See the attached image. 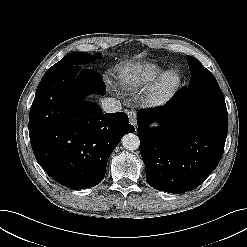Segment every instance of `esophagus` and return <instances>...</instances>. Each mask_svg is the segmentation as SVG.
<instances>
[{"mask_svg": "<svg viewBox=\"0 0 247 247\" xmlns=\"http://www.w3.org/2000/svg\"><path fill=\"white\" fill-rule=\"evenodd\" d=\"M127 114L129 116L130 123L136 128V112L133 110L127 111Z\"/></svg>", "mask_w": 247, "mask_h": 247, "instance_id": "obj_1", "label": "esophagus"}]
</instances>
